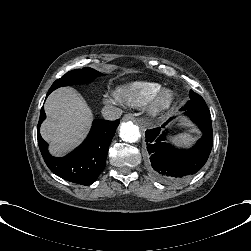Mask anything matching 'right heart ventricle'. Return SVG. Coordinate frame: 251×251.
<instances>
[{"instance_id": "right-heart-ventricle-1", "label": "right heart ventricle", "mask_w": 251, "mask_h": 251, "mask_svg": "<svg viewBox=\"0 0 251 251\" xmlns=\"http://www.w3.org/2000/svg\"><path fill=\"white\" fill-rule=\"evenodd\" d=\"M158 81L140 79L119 85L116 88V98L132 107H144L148 104Z\"/></svg>"}]
</instances>
